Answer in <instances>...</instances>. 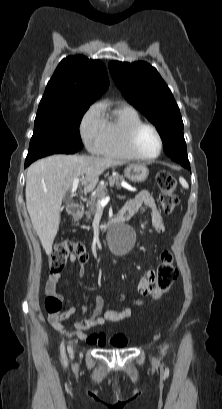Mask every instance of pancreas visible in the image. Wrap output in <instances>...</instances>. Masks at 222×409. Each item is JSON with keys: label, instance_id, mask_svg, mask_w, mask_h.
<instances>
[{"label": "pancreas", "instance_id": "pancreas-1", "mask_svg": "<svg viewBox=\"0 0 222 409\" xmlns=\"http://www.w3.org/2000/svg\"><path fill=\"white\" fill-rule=\"evenodd\" d=\"M109 184H116L119 186L121 181H124L123 176L116 174L115 176L109 177ZM106 184H99L95 190V195L88 202L89 210L86 211V220H90L92 214H94L99 207V201L102 200L106 195Z\"/></svg>", "mask_w": 222, "mask_h": 409}]
</instances>
